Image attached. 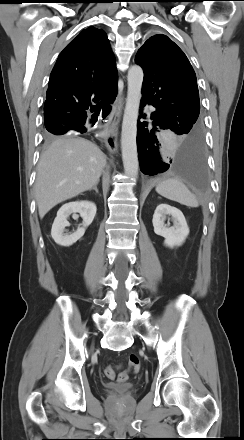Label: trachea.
Segmentation results:
<instances>
[{
    "mask_svg": "<svg viewBox=\"0 0 244 440\" xmlns=\"http://www.w3.org/2000/svg\"><path fill=\"white\" fill-rule=\"evenodd\" d=\"M99 107H102V109H103V113H108V111H109V107H108V105H106V104H98V105H96V106H92L91 107V111L92 112H94L97 108H99Z\"/></svg>",
    "mask_w": 244,
    "mask_h": 440,
    "instance_id": "obj_1",
    "label": "trachea"
}]
</instances>
